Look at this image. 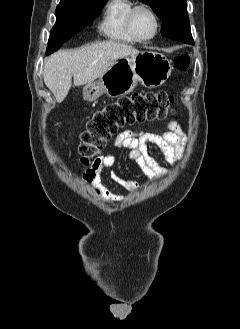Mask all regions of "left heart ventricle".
Returning a JSON list of instances; mask_svg holds the SVG:
<instances>
[{
  "mask_svg": "<svg viewBox=\"0 0 240 329\" xmlns=\"http://www.w3.org/2000/svg\"><path fill=\"white\" fill-rule=\"evenodd\" d=\"M134 27L138 35L141 37L150 36L155 27L152 16L145 10L139 11L134 19Z\"/></svg>",
  "mask_w": 240,
  "mask_h": 329,
  "instance_id": "obj_1",
  "label": "left heart ventricle"
}]
</instances>
